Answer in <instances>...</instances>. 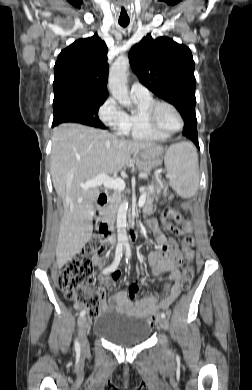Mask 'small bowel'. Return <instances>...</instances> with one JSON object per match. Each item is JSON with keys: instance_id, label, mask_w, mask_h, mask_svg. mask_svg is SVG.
<instances>
[{"instance_id": "1", "label": "small bowel", "mask_w": 252, "mask_h": 390, "mask_svg": "<svg viewBox=\"0 0 252 390\" xmlns=\"http://www.w3.org/2000/svg\"><path fill=\"white\" fill-rule=\"evenodd\" d=\"M147 227L157 241L156 246L150 251L148 256L151 272L158 277L167 276L168 284L164 288L166 295L161 298L159 294H145L141 298H137L136 293L139 286L135 283L129 290L118 291L108 300H105L103 295V312L115 311L117 313L147 319L159 310H167L179 296L181 292L179 286L181 277L179 267L182 264L183 257L177 247V243L174 239H167L162 234L156 221H147ZM94 263L99 267H104L106 262L103 258L97 257L94 259ZM117 277V275H113L110 278L104 273L100 275L98 277L100 289L114 290Z\"/></svg>"}]
</instances>
